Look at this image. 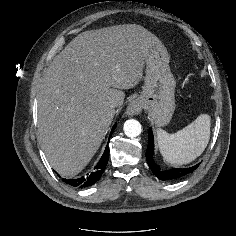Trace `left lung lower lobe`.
Masks as SVG:
<instances>
[{
  "label": "left lung lower lobe",
  "instance_id": "0a47b994",
  "mask_svg": "<svg viewBox=\"0 0 236 236\" xmlns=\"http://www.w3.org/2000/svg\"><path fill=\"white\" fill-rule=\"evenodd\" d=\"M148 147L146 151V160L147 163L154 173L156 177H158L160 180L163 181H175L178 180L185 175L191 173L195 169L198 168L199 164L189 167V168H172L170 170H163L161 169L157 163L153 159V154H154V137L152 133V129H149V134H148Z\"/></svg>",
  "mask_w": 236,
  "mask_h": 236
}]
</instances>
